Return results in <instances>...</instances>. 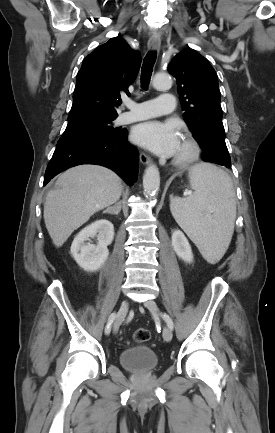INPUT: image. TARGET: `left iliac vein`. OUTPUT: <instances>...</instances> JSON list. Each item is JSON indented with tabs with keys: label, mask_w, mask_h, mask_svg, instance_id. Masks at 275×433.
I'll return each mask as SVG.
<instances>
[{
	"label": "left iliac vein",
	"mask_w": 275,
	"mask_h": 433,
	"mask_svg": "<svg viewBox=\"0 0 275 433\" xmlns=\"http://www.w3.org/2000/svg\"><path fill=\"white\" fill-rule=\"evenodd\" d=\"M145 307L155 316H160L159 308L154 300H148L144 303ZM172 330L165 326L163 328V338L165 341L170 342L172 340Z\"/></svg>",
	"instance_id": "left-iliac-vein-1"
}]
</instances>
